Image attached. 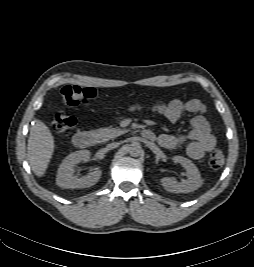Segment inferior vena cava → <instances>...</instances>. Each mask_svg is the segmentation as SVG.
I'll return each mask as SVG.
<instances>
[{
	"mask_svg": "<svg viewBox=\"0 0 254 267\" xmlns=\"http://www.w3.org/2000/svg\"><path fill=\"white\" fill-rule=\"evenodd\" d=\"M117 146H118L117 143H110V144L107 145V149H108V150H111V149L116 148Z\"/></svg>",
	"mask_w": 254,
	"mask_h": 267,
	"instance_id": "1",
	"label": "inferior vena cava"
}]
</instances>
